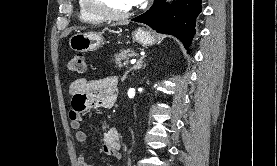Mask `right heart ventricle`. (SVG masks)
Instances as JSON below:
<instances>
[{
    "mask_svg": "<svg viewBox=\"0 0 277 166\" xmlns=\"http://www.w3.org/2000/svg\"><path fill=\"white\" fill-rule=\"evenodd\" d=\"M79 16L82 21L88 22V23H99L102 21L87 13L81 4V0H79Z\"/></svg>",
    "mask_w": 277,
    "mask_h": 166,
    "instance_id": "e07e8e85",
    "label": "right heart ventricle"
}]
</instances>
